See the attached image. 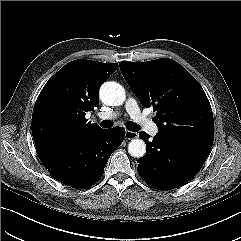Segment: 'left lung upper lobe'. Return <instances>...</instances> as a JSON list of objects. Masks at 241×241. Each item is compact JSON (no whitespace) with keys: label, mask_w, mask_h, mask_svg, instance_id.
<instances>
[{"label":"left lung upper lobe","mask_w":241,"mask_h":241,"mask_svg":"<svg viewBox=\"0 0 241 241\" xmlns=\"http://www.w3.org/2000/svg\"><path fill=\"white\" fill-rule=\"evenodd\" d=\"M120 70L145 107L153 106L159 133L207 146L214 140L210 103L198 81L171 59L120 62Z\"/></svg>","instance_id":"obj_1"}]
</instances>
